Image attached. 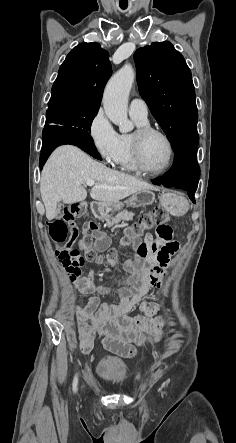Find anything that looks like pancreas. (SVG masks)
I'll return each mask as SVG.
<instances>
[{
    "mask_svg": "<svg viewBox=\"0 0 236 443\" xmlns=\"http://www.w3.org/2000/svg\"><path fill=\"white\" fill-rule=\"evenodd\" d=\"M133 216L134 213L133 212H129L127 210H123L121 212H119L116 216L114 217H107L106 218V222L108 226H113L115 224H118L121 221H130L133 220Z\"/></svg>",
    "mask_w": 236,
    "mask_h": 443,
    "instance_id": "cf45deb5",
    "label": "pancreas"
}]
</instances>
